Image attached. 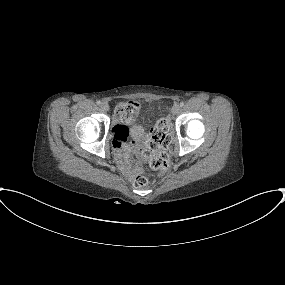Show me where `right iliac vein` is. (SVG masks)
I'll return each mask as SVG.
<instances>
[{
  "label": "right iliac vein",
  "instance_id": "obj_1",
  "mask_svg": "<svg viewBox=\"0 0 285 285\" xmlns=\"http://www.w3.org/2000/svg\"><path fill=\"white\" fill-rule=\"evenodd\" d=\"M109 108H110V107H109L108 103L104 102V103L101 104V109H102L103 111H108Z\"/></svg>",
  "mask_w": 285,
  "mask_h": 285
}]
</instances>
